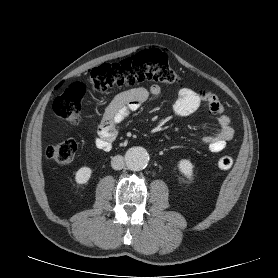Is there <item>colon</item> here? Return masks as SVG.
I'll return each instance as SVG.
<instances>
[{
    "instance_id": "colon-1",
    "label": "colon",
    "mask_w": 278,
    "mask_h": 278,
    "mask_svg": "<svg viewBox=\"0 0 278 278\" xmlns=\"http://www.w3.org/2000/svg\"><path fill=\"white\" fill-rule=\"evenodd\" d=\"M181 76L172 68L166 52L153 48L119 62L104 63L91 71L90 87L93 91L104 92L114 86H134L146 81L179 84ZM86 92L82 83H73L54 101L53 111L61 119L72 124L81 120V106ZM77 151L76 141L69 139L51 145L46 150L49 159L60 165L70 163ZM218 167L227 170L232 167L233 159L222 155Z\"/></svg>"
}]
</instances>
